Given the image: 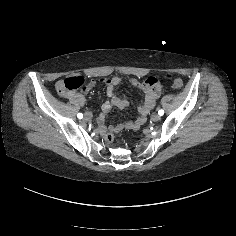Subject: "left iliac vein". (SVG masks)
I'll list each match as a JSON object with an SVG mask.
<instances>
[{
	"instance_id": "left-iliac-vein-1",
	"label": "left iliac vein",
	"mask_w": 236,
	"mask_h": 236,
	"mask_svg": "<svg viewBox=\"0 0 236 236\" xmlns=\"http://www.w3.org/2000/svg\"><path fill=\"white\" fill-rule=\"evenodd\" d=\"M150 119H151L152 121H154V122L159 121V120H160V115L157 114V113H153V114L151 115Z\"/></svg>"
}]
</instances>
